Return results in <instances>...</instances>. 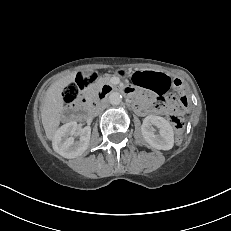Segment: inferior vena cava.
<instances>
[{"mask_svg": "<svg viewBox=\"0 0 231 231\" xmlns=\"http://www.w3.org/2000/svg\"><path fill=\"white\" fill-rule=\"evenodd\" d=\"M105 106H106L105 104L99 106V107L96 109V111H95L94 114H95V115H98V114L104 109Z\"/></svg>", "mask_w": 231, "mask_h": 231, "instance_id": "inferior-vena-cava-1", "label": "inferior vena cava"}]
</instances>
